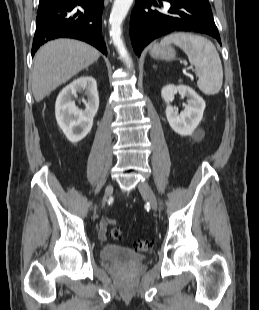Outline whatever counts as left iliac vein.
<instances>
[{
  "label": "left iliac vein",
  "instance_id": "obj_1",
  "mask_svg": "<svg viewBox=\"0 0 259 310\" xmlns=\"http://www.w3.org/2000/svg\"><path fill=\"white\" fill-rule=\"evenodd\" d=\"M138 190L141 193V195L149 201L152 209L156 211L158 208L157 198L151 186L147 182H142L138 185Z\"/></svg>",
  "mask_w": 259,
  "mask_h": 310
}]
</instances>
